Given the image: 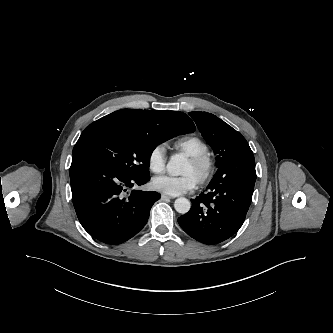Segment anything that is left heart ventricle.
Masks as SVG:
<instances>
[{"instance_id": "left-heart-ventricle-1", "label": "left heart ventricle", "mask_w": 333, "mask_h": 333, "mask_svg": "<svg viewBox=\"0 0 333 333\" xmlns=\"http://www.w3.org/2000/svg\"><path fill=\"white\" fill-rule=\"evenodd\" d=\"M181 174H183V175L184 174H190L193 177H195L196 180L198 179V175H199L198 170L189 161L186 162L185 166L181 170Z\"/></svg>"}]
</instances>
